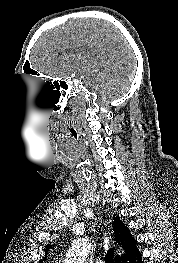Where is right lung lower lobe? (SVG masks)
<instances>
[{"mask_svg": "<svg viewBox=\"0 0 178 263\" xmlns=\"http://www.w3.org/2000/svg\"><path fill=\"white\" fill-rule=\"evenodd\" d=\"M125 263H143L142 256L138 250L134 255H132Z\"/></svg>", "mask_w": 178, "mask_h": 263, "instance_id": "obj_1", "label": "right lung lower lobe"}]
</instances>
